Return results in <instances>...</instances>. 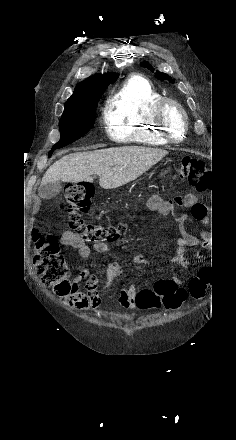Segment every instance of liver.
Instances as JSON below:
<instances>
[{"label": "liver", "instance_id": "liver-1", "mask_svg": "<svg viewBox=\"0 0 236 440\" xmlns=\"http://www.w3.org/2000/svg\"><path fill=\"white\" fill-rule=\"evenodd\" d=\"M167 154L163 149L140 146L71 153L48 168L41 186L60 181L91 183V176L98 175L102 188H117L137 179Z\"/></svg>", "mask_w": 236, "mask_h": 440}]
</instances>
